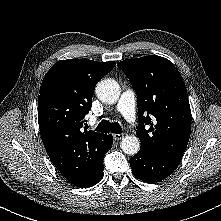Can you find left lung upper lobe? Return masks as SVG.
Masks as SVG:
<instances>
[{
  "label": "left lung upper lobe",
  "mask_w": 221,
  "mask_h": 221,
  "mask_svg": "<svg viewBox=\"0 0 221 221\" xmlns=\"http://www.w3.org/2000/svg\"><path fill=\"white\" fill-rule=\"evenodd\" d=\"M117 65L136 90L140 150L180 161L191 131V110L181 74L171 61L159 56L128 59Z\"/></svg>",
  "instance_id": "obj_1"
}]
</instances>
